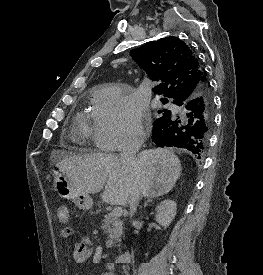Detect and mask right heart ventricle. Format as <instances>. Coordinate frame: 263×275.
<instances>
[{
	"label": "right heart ventricle",
	"mask_w": 263,
	"mask_h": 275,
	"mask_svg": "<svg viewBox=\"0 0 263 275\" xmlns=\"http://www.w3.org/2000/svg\"><path fill=\"white\" fill-rule=\"evenodd\" d=\"M89 119V116L86 114H80L77 116L74 127V140L76 142L85 143L92 135L94 125L92 127Z\"/></svg>",
	"instance_id": "1"
}]
</instances>
